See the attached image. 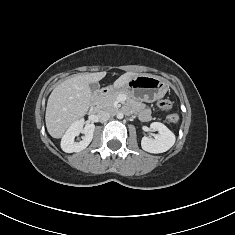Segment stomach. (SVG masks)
<instances>
[{
  "label": "stomach",
  "mask_w": 235,
  "mask_h": 235,
  "mask_svg": "<svg viewBox=\"0 0 235 235\" xmlns=\"http://www.w3.org/2000/svg\"><path fill=\"white\" fill-rule=\"evenodd\" d=\"M115 89L127 93L135 101L153 102L166 94L168 84L161 77L140 74L132 77L124 87Z\"/></svg>",
  "instance_id": "stomach-1"
}]
</instances>
